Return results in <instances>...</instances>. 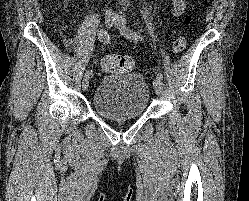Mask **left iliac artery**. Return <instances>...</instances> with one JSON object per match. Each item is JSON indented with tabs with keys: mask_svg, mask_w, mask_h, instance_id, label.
<instances>
[{
	"mask_svg": "<svg viewBox=\"0 0 249 201\" xmlns=\"http://www.w3.org/2000/svg\"><path fill=\"white\" fill-rule=\"evenodd\" d=\"M124 32H125V34H126L129 38H132V39H134V40H136V41L142 40V38L140 37V35H138L137 32L133 31V30L130 29V28H127V27H126L125 30H124ZM156 76H157V78H159V79H161V80L163 79V74H162L161 71H157Z\"/></svg>",
	"mask_w": 249,
	"mask_h": 201,
	"instance_id": "left-iliac-artery-1",
	"label": "left iliac artery"
}]
</instances>
